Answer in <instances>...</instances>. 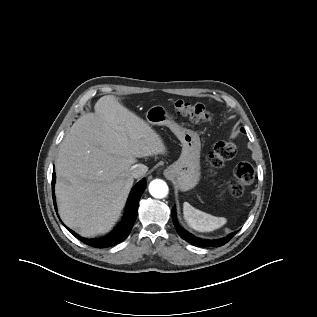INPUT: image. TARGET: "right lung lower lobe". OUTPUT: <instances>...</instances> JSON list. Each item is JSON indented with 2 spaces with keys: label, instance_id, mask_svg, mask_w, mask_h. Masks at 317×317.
Instances as JSON below:
<instances>
[{
  "label": "right lung lower lobe",
  "instance_id": "1",
  "mask_svg": "<svg viewBox=\"0 0 317 317\" xmlns=\"http://www.w3.org/2000/svg\"><path fill=\"white\" fill-rule=\"evenodd\" d=\"M54 183H55V172H53V177H52V195H53V200L55 201V196H54ZM146 187V181L145 179L140 181L131 191L129 200L126 206V211L125 215L122 219V221L119 223V225L113 230L109 235L100 238V239H87L78 236L74 231L66 227L64 224V227L75 237L80 239L83 243L88 244L89 246L95 247V248H107L113 245H116L123 240H125L137 217V210H138V203L140 200V197L145 190ZM54 206L56 209V203L54 202ZM57 211V210H56Z\"/></svg>",
  "mask_w": 317,
  "mask_h": 317
}]
</instances>
